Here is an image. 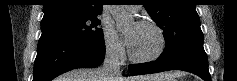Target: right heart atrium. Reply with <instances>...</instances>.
<instances>
[{"label": "right heart atrium", "mask_w": 237, "mask_h": 81, "mask_svg": "<svg viewBox=\"0 0 237 81\" xmlns=\"http://www.w3.org/2000/svg\"><path fill=\"white\" fill-rule=\"evenodd\" d=\"M104 41L107 55L117 59L123 57V43L110 24H106L104 27Z\"/></svg>", "instance_id": "1"}]
</instances>
